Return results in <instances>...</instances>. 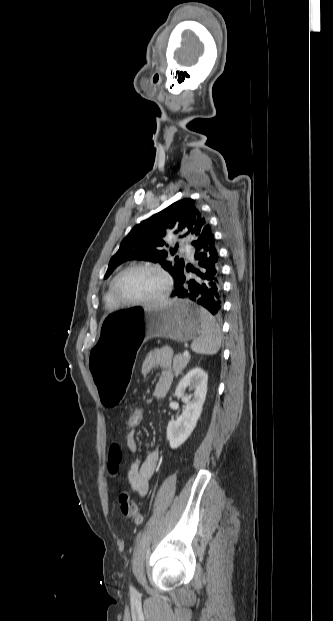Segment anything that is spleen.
<instances>
[{
  "instance_id": "1",
  "label": "spleen",
  "mask_w": 333,
  "mask_h": 621,
  "mask_svg": "<svg viewBox=\"0 0 333 621\" xmlns=\"http://www.w3.org/2000/svg\"><path fill=\"white\" fill-rule=\"evenodd\" d=\"M201 335L192 344V350L197 354L214 355L221 347L222 334L214 316L206 309L200 308Z\"/></svg>"
}]
</instances>
